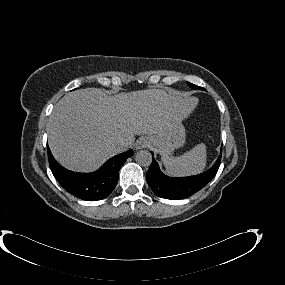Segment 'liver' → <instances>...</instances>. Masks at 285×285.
I'll return each instance as SVG.
<instances>
[{
	"mask_svg": "<svg viewBox=\"0 0 285 285\" xmlns=\"http://www.w3.org/2000/svg\"><path fill=\"white\" fill-rule=\"evenodd\" d=\"M195 97L162 89L108 96L97 88L68 93L55 105L48 124V143L55 159L75 171H92L131 147L135 135L160 134L186 118ZM123 141L122 150L116 148Z\"/></svg>",
	"mask_w": 285,
	"mask_h": 285,
	"instance_id": "liver-1",
	"label": "liver"
}]
</instances>
